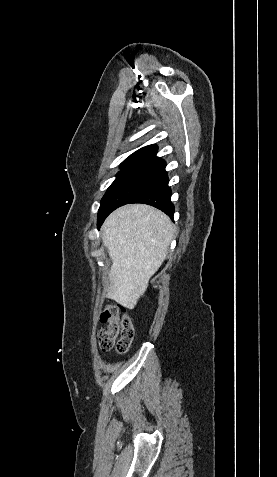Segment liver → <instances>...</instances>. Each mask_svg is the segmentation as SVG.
I'll return each instance as SVG.
<instances>
[{
  "instance_id": "6515ba94",
  "label": "liver",
  "mask_w": 277,
  "mask_h": 477,
  "mask_svg": "<svg viewBox=\"0 0 277 477\" xmlns=\"http://www.w3.org/2000/svg\"><path fill=\"white\" fill-rule=\"evenodd\" d=\"M173 233L170 218L149 205L130 204L112 212L102 226L112 260L107 297L133 309L165 260Z\"/></svg>"
}]
</instances>
